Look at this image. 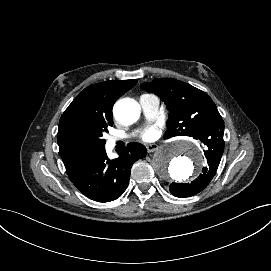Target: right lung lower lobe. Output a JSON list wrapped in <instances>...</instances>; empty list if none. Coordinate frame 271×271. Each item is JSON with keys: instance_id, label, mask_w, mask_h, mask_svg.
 Instances as JSON below:
<instances>
[{"instance_id": "obj_1", "label": "right lung lower lobe", "mask_w": 271, "mask_h": 271, "mask_svg": "<svg viewBox=\"0 0 271 271\" xmlns=\"http://www.w3.org/2000/svg\"><path fill=\"white\" fill-rule=\"evenodd\" d=\"M146 154L143 145L130 143L118 158L110 160L104 146L95 152L73 156L64 165L70 180L83 195L98 202H110L124 193L133 163Z\"/></svg>"}]
</instances>
